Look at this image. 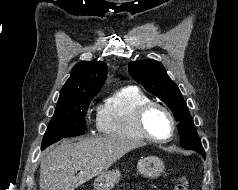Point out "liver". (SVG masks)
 <instances>
[{
  "mask_svg": "<svg viewBox=\"0 0 238 190\" xmlns=\"http://www.w3.org/2000/svg\"><path fill=\"white\" fill-rule=\"evenodd\" d=\"M144 144L120 137L65 141L47 151L40 164V190H74L109 167L129 151ZM78 174L76 175V173Z\"/></svg>",
  "mask_w": 238,
  "mask_h": 190,
  "instance_id": "obj_1",
  "label": "liver"
}]
</instances>
